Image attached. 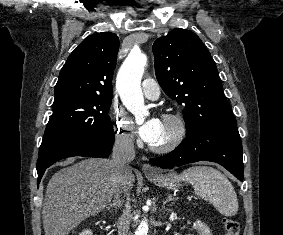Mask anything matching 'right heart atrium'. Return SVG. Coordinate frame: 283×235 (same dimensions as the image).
<instances>
[{
	"mask_svg": "<svg viewBox=\"0 0 283 235\" xmlns=\"http://www.w3.org/2000/svg\"><path fill=\"white\" fill-rule=\"evenodd\" d=\"M112 121L117 139L125 144L135 141L136 132L131 121L118 109L113 110Z\"/></svg>",
	"mask_w": 283,
	"mask_h": 235,
	"instance_id": "1",
	"label": "right heart atrium"
}]
</instances>
